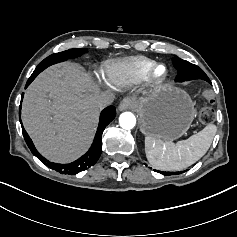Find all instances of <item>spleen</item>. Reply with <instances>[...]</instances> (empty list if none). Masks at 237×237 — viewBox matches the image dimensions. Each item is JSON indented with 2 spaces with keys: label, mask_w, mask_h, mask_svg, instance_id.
<instances>
[{
  "label": "spleen",
  "mask_w": 237,
  "mask_h": 237,
  "mask_svg": "<svg viewBox=\"0 0 237 237\" xmlns=\"http://www.w3.org/2000/svg\"><path fill=\"white\" fill-rule=\"evenodd\" d=\"M216 131L215 124H208L203 130L191 135L186 140L177 142V144L145 136L144 148L147 160L160 170L185 169L207 152Z\"/></svg>",
  "instance_id": "1"
}]
</instances>
